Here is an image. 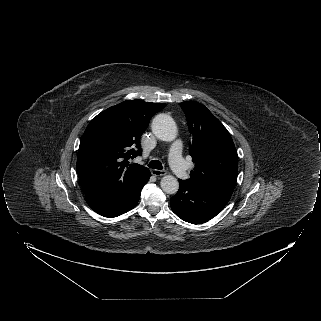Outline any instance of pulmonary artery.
Here are the masks:
<instances>
[{
    "instance_id": "1",
    "label": "pulmonary artery",
    "mask_w": 321,
    "mask_h": 321,
    "mask_svg": "<svg viewBox=\"0 0 321 321\" xmlns=\"http://www.w3.org/2000/svg\"><path fill=\"white\" fill-rule=\"evenodd\" d=\"M182 143L175 142L170 150L169 163L174 173L181 179H187L188 173L186 172L185 162L182 158Z\"/></svg>"
}]
</instances>
